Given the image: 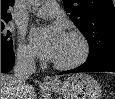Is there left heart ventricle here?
I'll return each mask as SVG.
<instances>
[{"label":"left heart ventricle","mask_w":115,"mask_h":99,"mask_svg":"<svg viewBox=\"0 0 115 99\" xmlns=\"http://www.w3.org/2000/svg\"><path fill=\"white\" fill-rule=\"evenodd\" d=\"M80 53V44L77 40L65 37L61 49L55 59L56 62H69L75 59Z\"/></svg>","instance_id":"obj_1"}]
</instances>
